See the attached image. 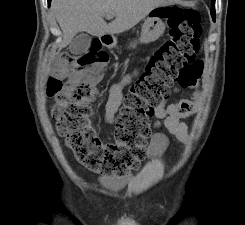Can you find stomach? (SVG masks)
Returning <instances> with one entry per match:
<instances>
[{
    "label": "stomach",
    "mask_w": 245,
    "mask_h": 225,
    "mask_svg": "<svg viewBox=\"0 0 245 225\" xmlns=\"http://www.w3.org/2000/svg\"><path fill=\"white\" fill-rule=\"evenodd\" d=\"M163 8H167V7L159 6L150 11L147 19L142 25L139 43L148 44L154 42L164 34L165 23L163 22V16H162V14L164 13ZM136 46H137L136 41L130 43L131 48L135 49Z\"/></svg>",
    "instance_id": "0dacf381"
}]
</instances>
